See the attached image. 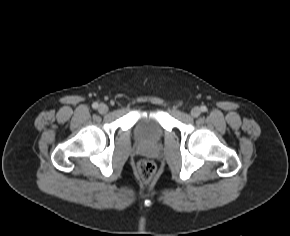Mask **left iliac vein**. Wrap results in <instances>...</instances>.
Here are the masks:
<instances>
[{
	"label": "left iliac vein",
	"mask_w": 290,
	"mask_h": 236,
	"mask_svg": "<svg viewBox=\"0 0 290 236\" xmlns=\"http://www.w3.org/2000/svg\"><path fill=\"white\" fill-rule=\"evenodd\" d=\"M201 114V109L199 107H194L191 110V115L193 117H198Z\"/></svg>",
	"instance_id": "1"
}]
</instances>
